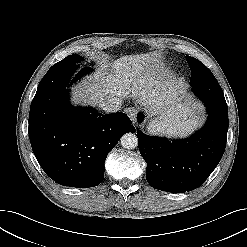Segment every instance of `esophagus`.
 I'll use <instances>...</instances> for the list:
<instances>
[{"label": "esophagus", "mask_w": 247, "mask_h": 247, "mask_svg": "<svg viewBox=\"0 0 247 247\" xmlns=\"http://www.w3.org/2000/svg\"><path fill=\"white\" fill-rule=\"evenodd\" d=\"M125 112L131 119V121L135 124L137 121L138 108L137 107H129L125 109Z\"/></svg>", "instance_id": "obj_1"}]
</instances>
